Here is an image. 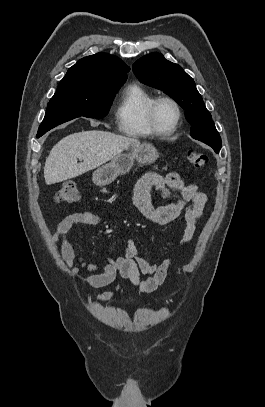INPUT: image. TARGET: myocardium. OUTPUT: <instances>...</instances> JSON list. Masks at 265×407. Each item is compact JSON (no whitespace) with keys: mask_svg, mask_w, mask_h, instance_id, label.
Masks as SVG:
<instances>
[{"mask_svg":"<svg viewBox=\"0 0 265 407\" xmlns=\"http://www.w3.org/2000/svg\"><path fill=\"white\" fill-rule=\"evenodd\" d=\"M163 102H168L170 104L173 105V107L176 110V121L173 124V126L169 129H162L159 124H158V120H157V111H158V107L161 103ZM147 119H148V123L150 128L152 129V131L159 136H168L173 134L179 127L181 120H182V108L181 105L179 104V102L170 97V96H160L155 98L152 103L150 104L148 111H147Z\"/></svg>","mask_w":265,"mask_h":407,"instance_id":"obj_1","label":"myocardium"}]
</instances>
